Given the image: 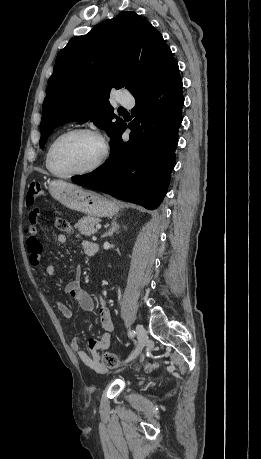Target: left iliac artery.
<instances>
[{
  "instance_id": "left-iliac-artery-1",
  "label": "left iliac artery",
  "mask_w": 261,
  "mask_h": 459,
  "mask_svg": "<svg viewBox=\"0 0 261 459\" xmlns=\"http://www.w3.org/2000/svg\"><path fill=\"white\" fill-rule=\"evenodd\" d=\"M128 335L131 338L134 337L135 336V331H133V330L129 331Z\"/></svg>"
}]
</instances>
